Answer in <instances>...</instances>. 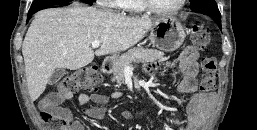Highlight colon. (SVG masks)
Returning a JSON list of instances; mask_svg holds the SVG:
<instances>
[{"instance_id":"1","label":"colon","mask_w":257,"mask_h":130,"mask_svg":"<svg viewBox=\"0 0 257 130\" xmlns=\"http://www.w3.org/2000/svg\"><path fill=\"white\" fill-rule=\"evenodd\" d=\"M191 37L193 43L205 48L209 41V33L200 25H194ZM201 79L199 89L202 93H210L216 89V61L213 57H203L201 60ZM101 82V76L95 67H85L71 75L64 77L58 84L57 92L60 96L70 97L75 91L84 89L93 91ZM41 119L48 130H69L68 118L51 110H42Z\"/></svg>"}]
</instances>
